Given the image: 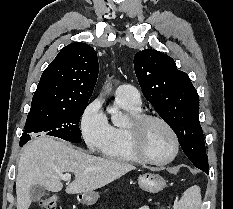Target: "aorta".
Listing matches in <instances>:
<instances>
[{
  "mask_svg": "<svg viewBox=\"0 0 233 209\" xmlns=\"http://www.w3.org/2000/svg\"><path fill=\"white\" fill-rule=\"evenodd\" d=\"M110 84H107V87ZM108 113L111 114V121L115 126H123L126 124L127 118L124 114H122L121 111H119L117 108H109Z\"/></svg>",
  "mask_w": 233,
  "mask_h": 209,
  "instance_id": "obj_1",
  "label": "aorta"
}]
</instances>
